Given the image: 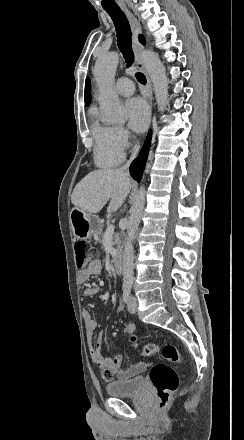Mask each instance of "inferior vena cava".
<instances>
[{"label": "inferior vena cava", "mask_w": 244, "mask_h": 440, "mask_svg": "<svg viewBox=\"0 0 244 440\" xmlns=\"http://www.w3.org/2000/svg\"><path fill=\"white\" fill-rule=\"evenodd\" d=\"M138 150H139V146H134L130 160H128L127 164H125V166H122V168H121L122 172H126V170H128L132 160H134V158H136V154H137ZM126 174H128V172H126Z\"/></svg>", "instance_id": "obj_1"}]
</instances>
